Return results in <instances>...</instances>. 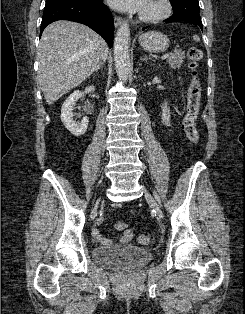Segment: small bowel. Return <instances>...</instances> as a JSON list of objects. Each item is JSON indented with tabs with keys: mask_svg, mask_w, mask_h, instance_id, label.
Wrapping results in <instances>:
<instances>
[{
	"mask_svg": "<svg viewBox=\"0 0 245 314\" xmlns=\"http://www.w3.org/2000/svg\"><path fill=\"white\" fill-rule=\"evenodd\" d=\"M162 121L166 128L171 127V114L168 103H164L162 106ZM116 228L118 230H123L122 236L120 238V242L122 244H128L133 240L134 233L132 230L126 229V224L118 222L116 224ZM93 235L101 244L105 246H109L112 244V241L110 239L104 238L98 230L93 231Z\"/></svg>",
	"mask_w": 245,
	"mask_h": 314,
	"instance_id": "obj_1",
	"label": "small bowel"
}]
</instances>
